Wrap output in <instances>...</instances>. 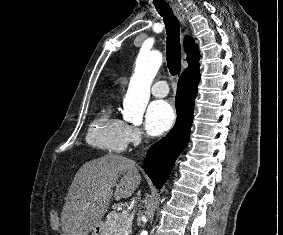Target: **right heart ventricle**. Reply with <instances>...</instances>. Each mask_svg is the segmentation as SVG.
Returning <instances> with one entry per match:
<instances>
[{"instance_id":"obj_1","label":"right heart ventricle","mask_w":283,"mask_h":235,"mask_svg":"<svg viewBox=\"0 0 283 235\" xmlns=\"http://www.w3.org/2000/svg\"><path fill=\"white\" fill-rule=\"evenodd\" d=\"M127 124L118 117L113 104L103 107L90 125L86 140L89 145L107 152L121 153L128 144Z\"/></svg>"}]
</instances>
